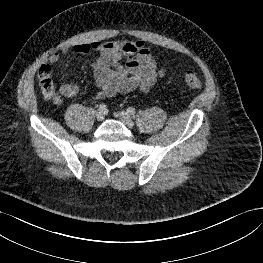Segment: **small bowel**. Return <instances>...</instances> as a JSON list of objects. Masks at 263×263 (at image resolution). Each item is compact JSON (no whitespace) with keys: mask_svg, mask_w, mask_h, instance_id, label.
<instances>
[{"mask_svg":"<svg viewBox=\"0 0 263 263\" xmlns=\"http://www.w3.org/2000/svg\"><path fill=\"white\" fill-rule=\"evenodd\" d=\"M73 51L78 55H86L91 51L99 54L92 63L95 83L99 88L97 99L132 91L148 92L165 74V69L158 66L151 51L141 40L80 43L73 47ZM69 52L70 48L60 49L51 55L49 62L56 64ZM79 91L77 84H63L53 100L59 104L63 98L75 97Z\"/></svg>","mask_w":263,"mask_h":263,"instance_id":"small-bowel-1","label":"small bowel"}]
</instances>
